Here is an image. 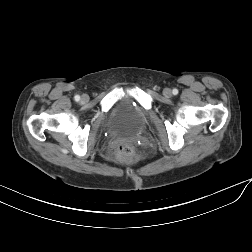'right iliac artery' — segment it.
I'll use <instances>...</instances> for the list:
<instances>
[{
	"instance_id": "obj_1",
	"label": "right iliac artery",
	"mask_w": 252,
	"mask_h": 252,
	"mask_svg": "<svg viewBox=\"0 0 252 252\" xmlns=\"http://www.w3.org/2000/svg\"><path fill=\"white\" fill-rule=\"evenodd\" d=\"M74 98H75L76 101L80 100V96L79 95H76Z\"/></svg>"
}]
</instances>
